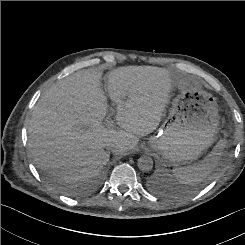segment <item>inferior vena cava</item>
I'll list each match as a JSON object with an SVG mask.
<instances>
[{
    "label": "inferior vena cava",
    "mask_w": 245,
    "mask_h": 245,
    "mask_svg": "<svg viewBox=\"0 0 245 245\" xmlns=\"http://www.w3.org/2000/svg\"><path fill=\"white\" fill-rule=\"evenodd\" d=\"M105 147H106L108 150H110V149H112L114 146H113L112 144H110V143H107V144H105Z\"/></svg>",
    "instance_id": "1"
}]
</instances>
